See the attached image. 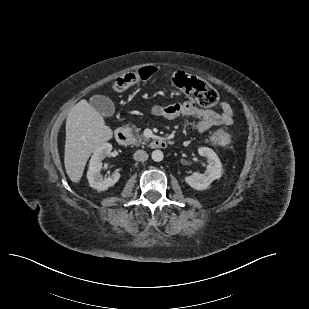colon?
Instances as JSON below:
<instances>
[{
	"label": "colon",
	"instance_id": "1",
	"mask_svg": "<svg viewBox=\"0 0 309 309\" xmlns=\"http://www.w3.org/2000/svg\"><path fill=\"white\" fill-rule=\"evenodd\" d=\"M156 73V68L152 66L141 68L137 71L124 74L118 77L113 89L121 92L133 84L150 79ZM173 85L189 95L195 102L204 107L215 106L219 101L218 92L208 83L197 79L194 76L187 75L183 72H178L172 77ZM221 138L230 140V136L223 135ZM219 136H214L212 141L219 140Z\"/></svg>",
	"mask_w": 309,
	"mask_h": 309
}]
</instances>
